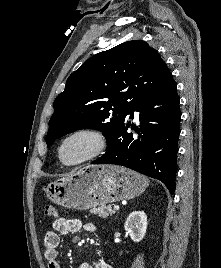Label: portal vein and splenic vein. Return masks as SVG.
<instances>
[{"instance_id":"portal-vein-and-splenic-vein-1","label":"portal vein and splenic vein","mask_w":221,"mask_h":268,"mask_svg":"<svg viewBox=\"0 0 221 268\" xmlns=\"http://www.w3.org/2000/svg\"><path fill=\"white\" fill-rule=\"evenodd\" d=\"M119 206L118 205H116V206H114V210H119Z\"/></svg>"}]
</instances>
